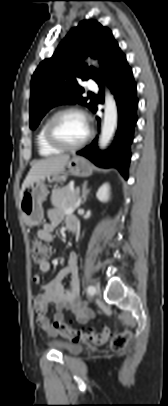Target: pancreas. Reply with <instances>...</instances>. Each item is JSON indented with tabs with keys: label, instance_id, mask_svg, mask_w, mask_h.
<instances>
[{
	"label": "pancreas",
	"instance_id": "1",
	"mask_svg": "<svg viewBox=\"0 0 168 406\" xmlns=\"http://www.w3.org/2000/svg\"><path fill=\"white\" fill-rule=\"evenodd\" d=\"M78 200L77 191L72 188L70 185L62 188L55 189L51 195L52 205L62 211L67 210L70 207H73Z\"/></svg>",
	"mask_w": 168,
	"mask_h": 406
}]
</instances>
